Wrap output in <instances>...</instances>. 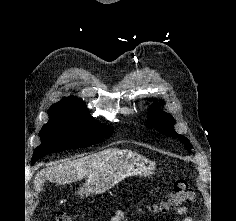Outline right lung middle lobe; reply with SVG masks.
I'll return each mask as SVG.
<instances>
[{"label":"right lung middle lobe","mask_w":236,"mask_h":221,"mask_svg":"<svg viewBox=\"0 0 236 221\" xmlns=\"http://www.w3.org/2000/svg\"><path fill=\"white\" fill-rule=\"evenodd\" d=\"M48 115L49 121L40 131L42 143L35 149L32 163L49 153L103 142L113 133L112 127L93 120L86 111L50 107Z\"/></svg>","instance_id":"right-lung-middle-lobe-1"}]
</instances>
